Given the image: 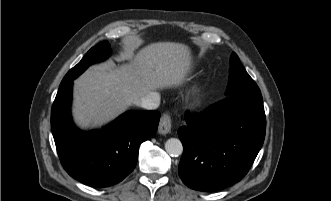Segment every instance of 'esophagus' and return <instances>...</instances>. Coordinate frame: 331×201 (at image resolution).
<instances>
[{
    "mask_svg": "<svg viewBox=\"0 0 331 201\" xmlns=\"http://www.w3.org/2000/svg\"><path fill=\"white\" fill-rule=\"evenodd\" d=\"M171 126L172 122L170 115L168 113H164L160 119L158 132L163 135L168 134L171 131Z\"/></svg>",
    "mask_w": 331,
    "mask_h": 201,
    "instance_id": "esophagus-1",
    "label": "esophagus"
}]
</instances>
